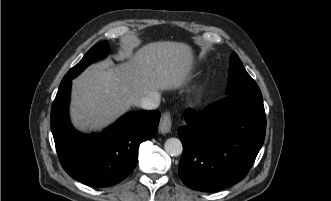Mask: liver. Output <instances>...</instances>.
<instances>
[{"instance_id":"liver-1","label":"liver","mask_w":331,"mask_h":201,"mask_svg":"<svg viewBox=\"0 0 331 201\" xmlns=\"http://www.w3.org/2000/svg\"><path fill=\"white\" fill-rule=\"evenodd\" d=\"M127 61L92 65L73 80L70 117L81 131L100 130L152 92L181 87L192 69L193 52L180 42H153Z\"/></svg>"}]
</instances>
